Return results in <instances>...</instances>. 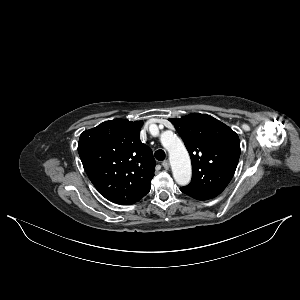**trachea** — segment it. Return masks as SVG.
Wrapping results in <instances>:
<instances>
[{"mask_svg": "<svg viewBox=\"0 0 300 300\" xmlns=\"http://www.w3.org/2000/svg\"><path fill=\"white\" fill-rule=\"evenodd\" d=\"M154 155L155 158L159 161H163L166 157V153L161 149L157 150Z\"/></svg>", "mask_w": 300, "mask_h": 300, "instance_id": "trachea-1", "label": "trachea"}]
</instances>
